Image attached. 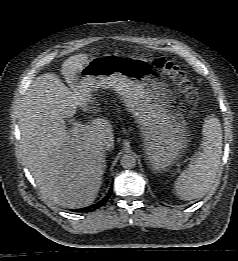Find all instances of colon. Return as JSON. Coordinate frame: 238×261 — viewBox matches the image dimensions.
Segmentation results:
<instances>
[{
    "mask_svg": "<svg viewBox=\"0 0 238 261\" xmlns=\"http://www.w3.org/2000/svg\"><path fill=\"white\" fill-rule=\"evenodd\" d=\"M151 63L154 67L168 75L190 102L198 100V92L193 82L181 67L163 57H155L151 60Z\"/></svg>",
    "mask_w": 238,
    "mask_h": 261,
    "instance_id": "colon-1",
    "label": "colon"
}]
</instances>
